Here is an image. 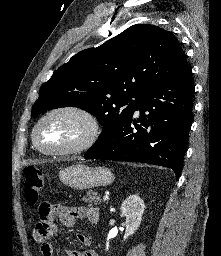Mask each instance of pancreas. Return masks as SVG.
I'll return each mask as SVG.
<instances>
[{
	"instance_id": "pancreas-1",
	"label": "pancreas",
	"mask_w": 221,
	"mask_h": 256,
	"mask_svg": "<svg viewBox=\"0 0 221 256\" xmlns=\"http://www.w3.org/2000/svg\"><path fill=\"white\" fill-rule=\"evenodd\" d=\"M83 199L89 204V206L100 205L102 202L101 197L95 191L87 192Z\"/></svg>"
}]
</instances>
